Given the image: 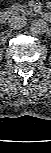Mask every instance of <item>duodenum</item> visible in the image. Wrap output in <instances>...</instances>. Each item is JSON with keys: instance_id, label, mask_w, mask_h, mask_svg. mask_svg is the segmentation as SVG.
<instances>
[{"instance_id": "410a0bca", "label": "duodenum", "mask_w": 51, "mask_h": 153, "mask_svg": "<svg viewBox=\"0 0 51 153\" xmlns=\"http://www.w3.org/2000/svg\"><path fill=\"white\" fill-rule=\"evenodd\" d=\"M8 16H9V14H8L7 10H5V9L1 10L0 11V23L1 24L6 23ZM42 18L46 21H49L51 18V15L49 12H44L42 15Z\"/></svg>"}]
</instances>
